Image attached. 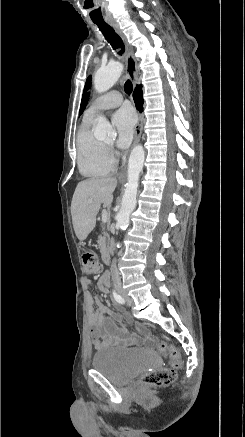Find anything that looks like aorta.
I'll list each match as a JSON object with an SVG mask.
<instances>
[{"label":"aorta","instance_id":"aorta-1","mask_svg":"<svg viewBox=\"0 0 245 437\" xmlns=\"http://www.w3.org/2000/svg\"><path fill=\"white\" fill-rule=\"evenodd\" d=\"M122 64L115 62L105 68L99 69L94 76V87L99 93L109 90L119 79L122 73ZM94 135L98 139L115 138L116 132L105 117L97 118V126ZM145 159L142 145H137L131 151L128 161V174L125 191L121 201V208L116 216L117 226L126 230L130 215L136 207L138 181Z\"/></svg>","mask_w":245,"mask_h":437}]
</instances>
